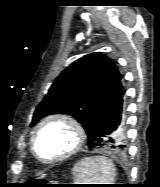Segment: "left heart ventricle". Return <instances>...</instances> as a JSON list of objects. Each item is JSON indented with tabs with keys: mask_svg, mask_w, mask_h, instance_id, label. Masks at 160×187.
I'll return each mask as SVG.
<instances>
[{
	"mask_svg": "<svg viewBox=\"0 0 160 187\" xmlns=\"http://www.w3.org/2000/svg\"><path fill=\"white\" fill-rule=\"evenodd\" d=\"M74 142V134L68 126L53 122L46 125L39 133L36 150L42 158L52 159L71 149Z\"/></svg>",
	"mask_w": 160,
	"mask_h": 187,
	"instance_id": "1",
	"label": "left heart ventricle"
}]
</instances>
